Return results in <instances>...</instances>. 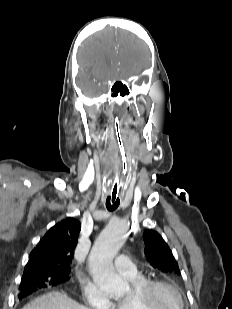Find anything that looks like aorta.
I'll use <instances>...</instances> for the list:
<instances>
[{
    "instance_id": "762f6f07",
    "label": "aorta",
    "mask_w": 232,
    "mask_h": 309,
    "mask_svg": "<svg viewBox=\"0 0 232 309\" xmlns=\"http://www.w3.org/2000/svg\"><path fill=\"white\" fill-rule=\"evenodd\" d=\"M127 224L123 220L111 221L96 239L90 255L89 266L94 281L115 300L128 291V282L118 276L113 259L126 240Z\"/></svg>"
}]
</instances>
